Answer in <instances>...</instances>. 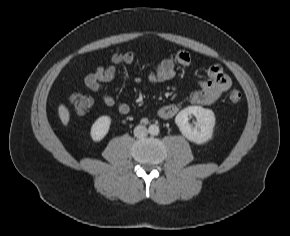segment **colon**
<instances>
[{
	"label": "colon",
	"instance_id": "1",
	"mask_svg": "<svg viewBox=\"0 0 290 236\" xmlns=\"http://www.w3.org/2000/svg\"><path fill=\"white\" fill-rule=\"evenodd\" d=\"M229 99L232 103H238L242 99V94L241 92L234 90L229 94ZM70 103L72 104L75 111L81 114L85 113L91 108L93 100L90 96L75 93L70 96Z\"/></svg>",
	"mask_w": 290,
	"mask_h": 236
}]
</instances>
